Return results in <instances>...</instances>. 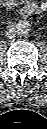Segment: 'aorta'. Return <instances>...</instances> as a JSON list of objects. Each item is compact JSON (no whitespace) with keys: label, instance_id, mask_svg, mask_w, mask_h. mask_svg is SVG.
Returning <instances> with one entry per match:
<instances>
[{"label":"aorta","instance_id":"762f6f07","mask_svg":"<svg viewBox=\"0 0 47 129\" xmlns=\"http://www.w3.org/2000/svg\"><path fill=\"white\" fill-rule=\"evenodd\" d=\"M31 25L26 20H21L16 24V32L18 35H26L30 32Z\"/></svg>","mask_w":47,"mask_h":129}]
</instances>
